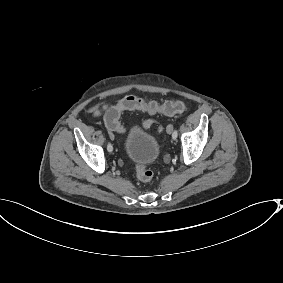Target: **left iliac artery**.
<instances>
[{
    "label": "left iliac artery",
    "instance_id": "left-iliac-artery-1",
    "mask_svg": "<svg viewBox=\"0 0 283 283\" xmlns=\"http://www.w3.org/2000/svg\"><path fill=\"white\" fill-rule=\"evenodd\" d=\"M177 137H178V131L174 130L173 134H172V138L175 140V139H177Z\"/></svg>",
    "mask_w": 283,
    "mask_h": 283
}]
</instances>
